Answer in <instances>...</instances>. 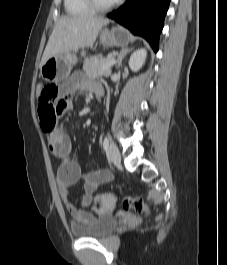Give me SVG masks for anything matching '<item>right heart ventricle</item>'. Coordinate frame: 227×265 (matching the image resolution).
Returning a JSON list of instances; mask_svg holds the SVG:
<instances>
[{"mask_svg":"<svg viewBox=\"0 0 227 265\" xmlns=\"http://www.w3.org/2000/svg\"><path fill=\"white\" fill-rule=\"evenodd\" d=\"M64 8L70 16L86 15L93 12L85 0H64Z\"/></svg>","mask_w":227,"mask_h":265,"instance_id":"1","label":"right heart ventricle"}]
</instances>
